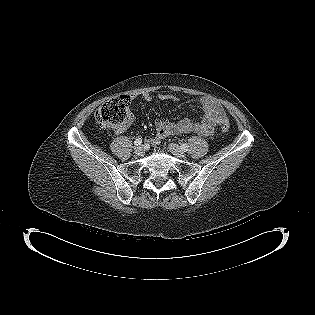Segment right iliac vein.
<instances>
[{"label":"right iliac vein","instance_id":"1","mask_svg":"<svg viewBox=\"0 0 315 315\" xmlns=\"http://www.w3.org/2000/svg\"><path fill=\"white\" fill-rule=\"evenodd\" d=\"M134 152H135L136 155L141 156L144 153V148L141 147V146H137V147L134 148Z\"/></svg>","mask_w":315,"mask_h":315}]
</instances>
